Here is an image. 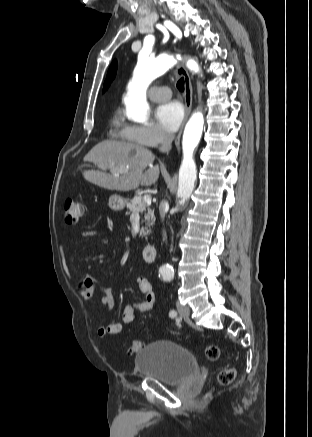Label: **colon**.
I'll list each match as a JSON object with an SVG mask.
<instances>
[{
	"label": "colon",
	"instance_id": "1",
	"mask_svg": "<svg viewBox=\"0 0 312 437\" xmlns=\"http://www.w3.org/2000/svg\"><path fill=\"white\" fill-rule=\"evenodd\" d=\"M83 213L84 205L82 202L72 198H67L64 201V219L67 224L73 225L77 223L83 216ZM141 346L142 344L140 341L133 340L129 347V353H138L141 350ZM205 355L207 359L216 361L220 357V350L218 346L211 344L205 348ZM235 374V369L233 367H225L219 372L217 383L220 386L229 385L234 380Z\"/></svg>",
	"mask_w": 312,
	"mask_h": 437
}]
</instances>
